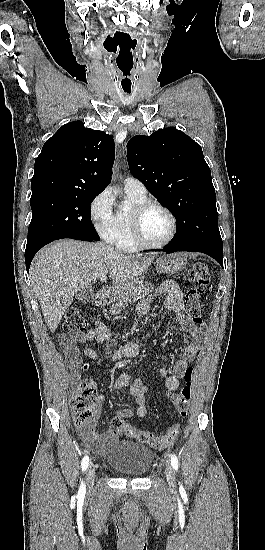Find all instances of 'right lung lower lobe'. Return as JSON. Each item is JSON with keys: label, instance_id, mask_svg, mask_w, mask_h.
<instances>
[{"label": "right lung lower lobe", "instance_id": "1", "mask_svg": "<svg viewBox=\"0 0 265 550\" xmlns=\"http://www.w3.org/2000/svg\"><path fill=\"white\" fill-rule=\"evenodd\" d=\"M62 238H71V239H76V240H83V241H96L94 239H90V238H86V237H82V236H77V235H65V236H62L58 239H62ZM42 248V247H41ZM40 248L36 249L35 251L33 252H30V253H25V262H26V269L27 271L29 272V268H30V264H31V261L34 257V255L37 253V251L39 250Z\"/></svg>", "mask_w": 265, "mask_h": 550}]
</instances>
